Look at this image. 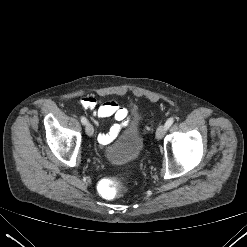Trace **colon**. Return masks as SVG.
Returning a JSON list of instances; mask_svg holds the SVG:
<instances>
[{
  "label": "colon",
  "mask_w": 247,
  "mask_h": 247,
  "mask_svg": "<svg viewBox=\"0 0 247 247\" xmlns=\"http://www.w3.org/2000/svg\"><path fill=\"white\" fill-rule=\"evenodd\" d=\"M152 123L146 126V131L151 130ZM127 185L123 177H109L100 182V193L108 199L116 198L120 193L126 189Z\"/></svg>",
  "instance_id": "obj_1"
}]
</instances>
